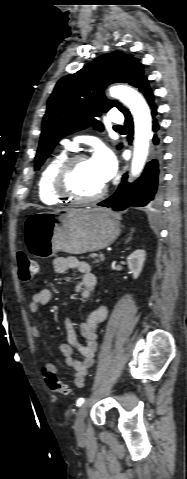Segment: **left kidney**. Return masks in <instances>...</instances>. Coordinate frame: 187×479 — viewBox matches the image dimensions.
<instances>
[{"instance_id":"1","label":"left kidney","mask_w":187,"mask_h":479,"mask_svg":"<svg viewBox=\"0 0 187 479\" xmlns=\"http://www.w3.org/2000/svg\"><path fill=\"white\" fill-rule=\"evenodd\" d=\"M146 252L138 249L127 257L128 268L131 271L133 278L137 279L142 271Z\"/></svg>"}]
</instances>
